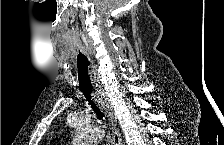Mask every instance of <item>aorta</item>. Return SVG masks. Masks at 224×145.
<instances>
[{"label": "aorta", "instance_id": "obj_1", "mask_svg": "<svg viewBox=\"0 0 224 145\" xmlns=\"http://www.w3.org/2000/svg\"><path fill=\"white\" fill-rule=\"evenodd\" d=\"M105 134L100 126H79L73 138L74 145H93L103 140Z\"/></svg>", "mask_w": 224, "mask_h": 145}]
</instances>
